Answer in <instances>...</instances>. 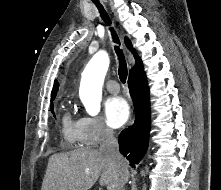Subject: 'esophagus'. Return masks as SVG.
Segmentation results:
<instances>
[{"mask_svg": "<svg viewBox=\"0 0 221 190\" xmlns=\"http://www.w3.org/2000/svg\"><path fill=\"white\" fill-rule=\"evenodd\" d=\"M133 121H134V118L132 117L131 120H130V123H133Z\"/></svg>", "mask_w": 221, "mask_h": 190, "instance_id": "obj_1", "label": "esophagus"}]
</instances>
